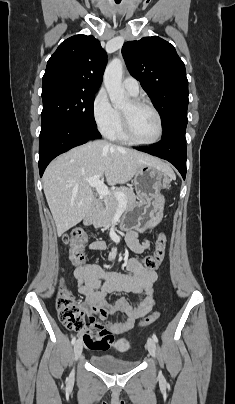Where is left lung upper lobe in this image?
I'll return each mask as SVG.
<instances>
[{
	"label": "left lung upper lobe",
	"instance_id": "obj_1",
	"mask_svg": "<svg viewBox=\"0 0 235 404\" xmlns=\"http://www.w3.org/2000/svg\"><path fill=\"white\" fill-rule=\"evenodd\" d=\"M130 74L141 84L162 117L163 136L186 132L188 80L172 44L158 36L126 42L122 48Z\"/></svg>",
	"mask_w": 235,
	"mask_h": 404
}]
</instances>
